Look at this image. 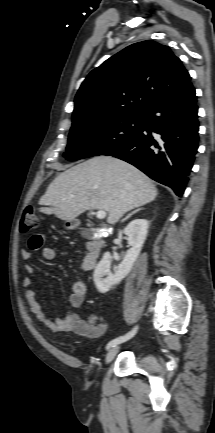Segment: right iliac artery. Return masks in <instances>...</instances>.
Returning a JSON list of instances; mask_svg holds the SVG:
<instances>
[{
  "instance_id": "right-iliac-artery-1",
  "label": "right iliac artery",
  "mask_w": 215,
  "mask_h": 433,
  "mask_svg": "<svg viewBox=\"0 0 215 433\" xmlns=\"http://www.w3.org/2000/svg\"><path fill=\"white\" fill-rule=\"evenodd\" d=\"M136 332H137V327L134 328L132 331L128 332L127 334L111 340L107 344L106 349H110V348L116 346L117 344H120L122 342L129 340L130 338H132L135 335Z\"/></svg>"
}]
</instances>
